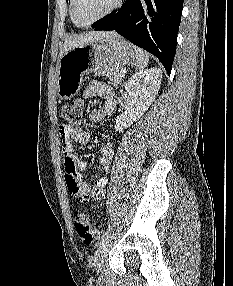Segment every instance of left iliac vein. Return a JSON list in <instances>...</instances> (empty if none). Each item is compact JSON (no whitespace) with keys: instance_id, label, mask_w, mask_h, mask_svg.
Wrapping results in <instances>:
<instances>
[{"instance_id":"4c4485c4","label":"left iliac vein","mask_w":233,"mask_h":286,"mask_svg":"<svg viewBox=\"0 0 233 286\" xmlns=\"http://www.w3.org/2000/svg\"><path fill=\"white\" fill-rule=\"evenodd\" d=\"M108 241L105 240L97 249L94 257V266L97 272L102 269L105 257L107 255Z\"/></svg>"}]
</instances>
